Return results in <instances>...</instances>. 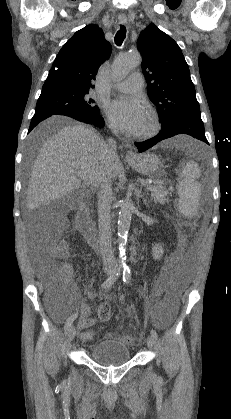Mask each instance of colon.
<instances>
[{
	"label": "colon",
	"mask_w": 231,
	"mask_h": 419,
	"mask_svg": "<svg viewBox=\"0 0 231 419\" xmlns=\"http://www.w3.org/2000/svg\"><path fill=\"white\" fill-rule=\"evenodd\" d=\"M69 255L68 245L64 242H58L47 250V265L44 271V277L49 285L68 284L71 279V269L65 262ZM98 316L101 321H109L111 318L110 309L107 305L99 308ZM126 344H132V338L123 339Z\"/></svg>",
	"instance_id": "5ec220e1"
}]
</instances>
